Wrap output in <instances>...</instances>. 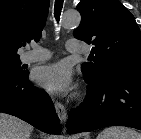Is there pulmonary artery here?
<instances>
[{
    "instance_id": "1",
    "label": "pulmonary artery",
    "mask_w": 141,
    "mask_h": 139,
    "mask_svg": "<svg viewBox=\"0 0 141 139\" xmlns=\"http://www.w3.org/2000/svg\"><path fill=\"white\" fill-rule=\"evenodd\" d=\"M66 48L72 53L86 50V47L76 40H69L66 44ZM50 57L51 53L47 49L34 45L31 51L26 52L22 56V60L27 63H33L48 60Z\"/></svg>"
}]
</instances>
